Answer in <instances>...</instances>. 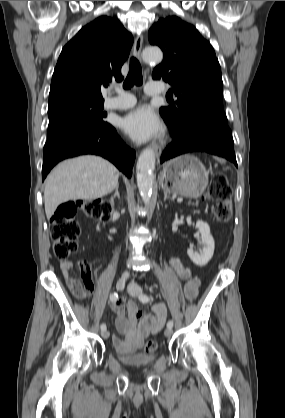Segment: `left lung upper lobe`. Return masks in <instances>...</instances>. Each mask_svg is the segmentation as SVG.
<instances>
[{
    "label": "left lung upper lobe",
    "instance_id": "obj_1",
    "mask_svg": "<svg viewBox=\"0 0 285 418\" xmlns=\"http://www.w3.org/2000/svg\"><path fill=\"white\" fill-rule=\"evenodd\" d=\"M164 58L152 73L171 85L177 100L160 108L172 136L183 134L201 121L228 125L223 110L221 69L211 44L198 30L176 16L161 18L148 33Z\"/></svg>",
    "mask_w": 285,
    "mask_h": 418
}]
</instances>
